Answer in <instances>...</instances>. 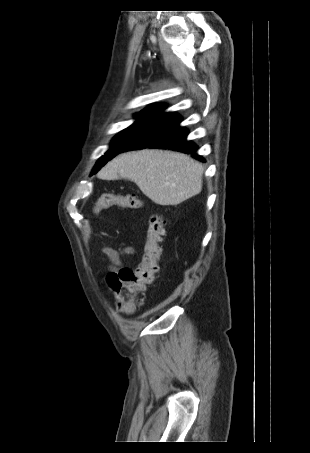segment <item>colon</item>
Here are the masks:
<instances>
[{
	"label": "colon",
	"instance_id": "obj_1",
	"mask_svg": "<svg viewBox=\"0 0 310 453\" xmlns=\"http://www.w3.org/2000/svg\"><path fill=\"white\" fill-rule=\"evenodd\" d=\"M141 200L135 195L103 194L94 205V212L100 213L112 207L123 210L139 209ZM164 219L153 215L149 221L146 242L141 263L134 269L121 268L107 276V283L115 294L116 306L120 312L131 313L137 305V294L154 281L158 262L162 254Z\"/></svg>",
	"mask_w": 310,
	"mask_h": 453
}]
</instances>
